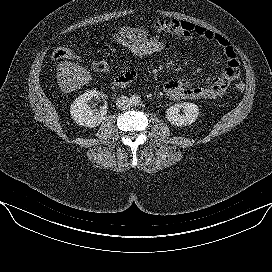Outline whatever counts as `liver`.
I'll use <instances>...</instances> for the list:
<instances>
[{"instance_id": "obj_1", "label": "liver", "mask_w": 272, "mask_h": 272, "mask_svg": "<svg viewBox=\"0 0 272 272\" xmlns=\"http://www.w3.org/2000/svg\"><path fill=\"white\" fill-rule=\"evenodd\" d=\"M58 85L63 93H70L87 84L92 76L79 64L60 62L57 68Z\"/></svg>"}]
</instances>
